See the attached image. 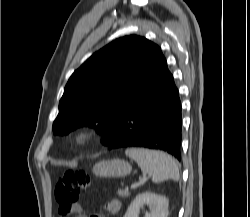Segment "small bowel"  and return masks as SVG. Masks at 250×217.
I'll use <instances>...</instances> for the list:
<instances>
[{
    "instance_id": "1",
    "label": "small bowel",
    "mask_w": 250,
    "mask_h": 217,
    "mask_svg": "<svg viewBox=\"0 0 250 217\" xmlns=\"http://www.w3.org/2000/svg\"><path fill=\"white\" fill-rule=\"evenodd\" d=\"M121 207H122V204H121V201L119 199H112L110 200L106 206H105V210L108 214H111V215H114V214H117L120 212L121 210ZM61 212L63 213H72V214H76L77 217H86L84 214H83V208L81 205H77L75 207H73L72 209L70 210H67L64 212L63 209H60Z\"/></svg>"
}]
</instances>
